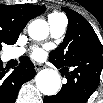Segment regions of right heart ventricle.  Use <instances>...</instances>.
Segmentation results:
<instances>
[{
    "mask_svg": "<svg viewBox=\"0 0 103 103\" xmlns=\"http://www.w3.org/2000/svg\"><path fill=\"white\" fill-rule=\"evenodd\" d=\"M59 15H61V14H59V13H52V14L49 15V17H55V16H59Z\"/></svg>",
    "mask_w": 103,
    "mask_h": 103,
    "instance_id": "1",
    "label": "right heart ventricle"
}]
</instances>
